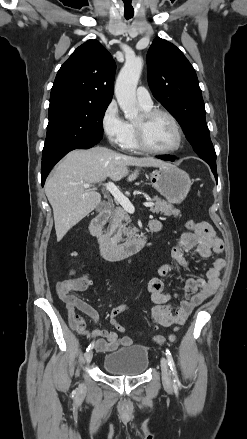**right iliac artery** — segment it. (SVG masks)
Masks as SVG:
<instances>
[{"mask_svg":"<svg viewBox=\"0 0 247 439\" xmlns=\"http://www.w3.org/2000/svg\"><path fill=\"white\" fill-rule=\"evenodd\" d=\"M93 346H94V344H93V343H90V345H89L88 348H87V351H89L90 349H92Z\"/></svg>","mask_w":247,"mask_h":439,"instance_id":"right-iliac-artery-1","label":"right iliac artery"}]
</instances>
